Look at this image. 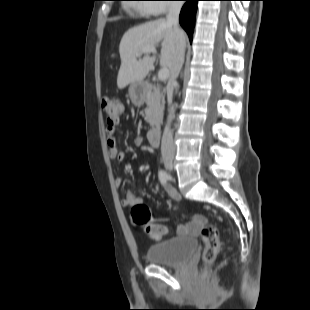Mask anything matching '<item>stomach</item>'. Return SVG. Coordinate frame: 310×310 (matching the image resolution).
<instances>
[{
	"mask_svg": "<svg viewBox=\"0 0 310 310\" xmlns=\"http://www.w3.org/2000/svg\"><path fill=\"white\" fill-rule=\"evenodd\" d=\"M129 97L133 104L141 106L146 95V86L144 82H132L129 86Z\"/></svg>",
	"mask_w": 310,
	"mask_h": 310,
	"instance_id": "obj_1",
	"label": "stomach"
}]
</instances>
